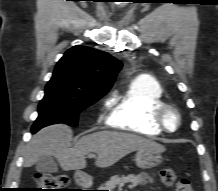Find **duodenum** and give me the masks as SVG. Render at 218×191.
Here are the masks:
<instances>
[{
    "label": "duodenum",
    "mask_w": 218,
    "mask_h": 191,
    "mask_svg": "<svg viewBox=\"0 0 218 191\" xmlns=\"http://www.w3.org/2000/svg\"><path fill=\"white\" fill-rule=\"evenodd\" d=\"M76 181L82 187H88L90 185V179L88 175L81 171H78L76 173Z\"/></svg>",
    "instance_id": "obj_1"
}]
</instances>
